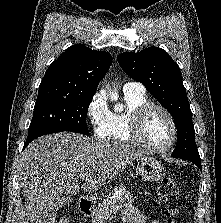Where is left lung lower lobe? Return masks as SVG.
<instances>
[{"mask_svg":"<svg viewBox=\"0 0 221 223\" xmlns=\"http://www.w3.org/2000/svg\"><path fill=\"white\" fill-rule=\"evenodd\" d=\"M185 159L193 162L201 170V159H193V158H185Z\"/></svg>","mask_w":221,"mask_h":223,"instance_id":"obj_1","label":"left lung lower lobe"}]
</instances>
